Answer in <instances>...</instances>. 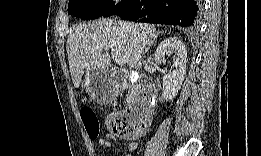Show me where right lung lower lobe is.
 I'll return each instance as SVG.
<instances>
[{
    "mask_svg": "<svg viewBox=\"0 0 261 156\" xmlns=\"http://www.w3.org/2000/svg\"><path fill=\"white\" fill-rule=\"evenodd\" d=\"M199 8L198 0H122L103 16L190 27L197 24Z\"/></svg>",
    "mask_w": 261,
    "mask_h": 156,
    "instance_id": "98d812e1",
    "label": "right lung lower lobe"
}]
</instances>
